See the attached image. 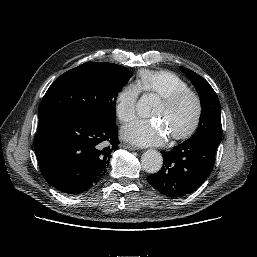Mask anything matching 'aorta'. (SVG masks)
<instances>
[{"mask_svg": "<svg viewBox=\"0 0 257 257\" xmlns=\"http://www.w3.org/2000/svg\"><path fill=\"white\" fill-rule=\"evenodd\" d=\"M157 97L144 94L137 102L136 110L141 117H147L155 106ZM142 167L148 173H157L163 164L162 155L156 150H147L141 158Z\"/></svg>", "mask_w": 257, "mask_h": 257, "instance_id": "762f6f07", "label": "aorta"}]
</instances>
